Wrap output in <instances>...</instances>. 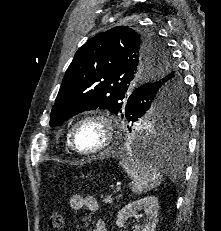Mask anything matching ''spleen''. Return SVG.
<instances>
[{
    "mask_svg": "<svg viewBox=\"0 0 221 231\" xmlns=\"http://www.w3.org/2000/svg\"><path fill=\"white\" fill-rule=\"evenodd\" d=\"M119 164L134 181L132 191L136 194L148 192L161 184L162 176L157 172L153 161L146 162L128 155Z\"/></svg>",
    "mask_w": 221,
    "mask_h": 231,
    "instance_id": "spleen-1",
    "label": "spleen"
}]
</instances>
